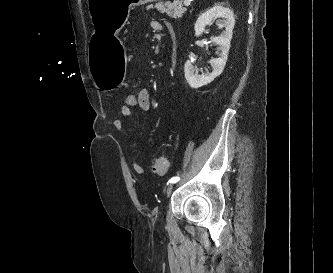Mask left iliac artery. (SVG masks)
<instances>
[{"label":"left iliac artery","mask_w":333,"mask_h":273,"mask_svg":"<svg viewBox=\"0 0 333 273\" xmlns=\"http://www.w3.org/2000/svg\"><path fill=\"white\" fill-rule=\"evenodd\" d=\"M180 180V177H172L170 180H169V183H176Z\"/></svg>","instance_id":"obj_1"}]
</instances>
